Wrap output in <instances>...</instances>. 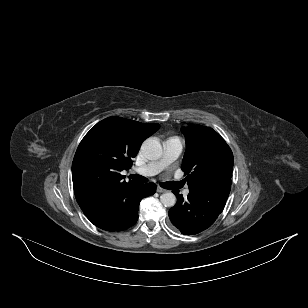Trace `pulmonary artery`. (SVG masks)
Masks as SVG:
<instances>
[{
	"mask_svg": "<svg viewBox=\"0 0 308 308\" xmlns=\"http://www.w3.org/2000/svg\"><path fill=\"white\" fill-rule=\"evenodd\" d=\"M182 149L183 142L179 138H169L164 143L163 156L157 161L150 162L137 168L136 172L144 176L156 175L175 161L181 154ZM183 194L187 196L189 194V189L184 190Z\"/></svg>",
	"mask_w": 308,
	"mask_h": 308,
	"instance_id": "pulmonary-artery-1",
	"label": "pulmonary artery"
}]
</instances>
